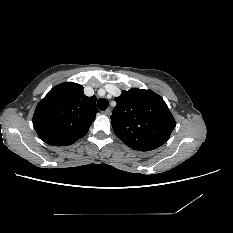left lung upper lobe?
Returning a JSON list of instances; mask_svg holds the SVG:
<instances>
[{"label": "left lung upper lobe", "instance_id": "obj_1", "mask_svg": "<svg viewBox=\"0 0 233 233\" xmlns=\"http://www.w3.org/2000/svg\"><path fill=\"white\" fill-rule=\"evenodd\" d=\"M111 115L116 136L128 147L150 151L163 145L175 128V120L164 100L150 90L122 91Z\"/></svg>", "mask_w": 233, "mask_h": 233}]
</instances>
